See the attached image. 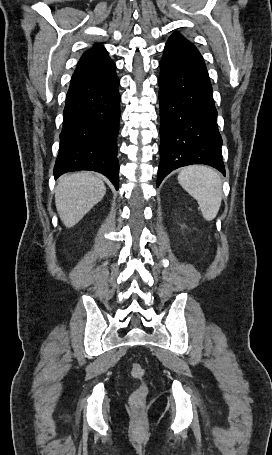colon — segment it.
<instances>
[{
  "instance_id": "5ec220e1",
  "label": "colon",
  "mask_w": 272,
  "mask_h": 455,
  "mask_svg": "<svg viewBox=\"0 0 272 455\" xmlns=\"http://www.w3.org/2000/svg\"><path fill=\"white\" fill-rule=\"evenodd\" d=\"M131 374L134 378L143 382L144 379V369L138 363H133L130 367ZM148 393V387L143 382L140 387H138L131 395L130 402L134 409L139 410L144 404L145 398Z\"/></svg>"
}]
</instances>
